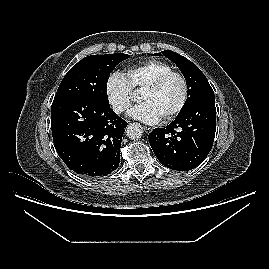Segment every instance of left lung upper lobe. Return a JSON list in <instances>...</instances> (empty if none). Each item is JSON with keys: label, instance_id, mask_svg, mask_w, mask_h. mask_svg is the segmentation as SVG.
<instances>
[{"label": "left lung upper lobe", "instance_id": "1", "mask_svg": "<svg viewBox=\"0 0 269 269\" xmlns=\"http://www.w3.org/2000/svg\"><path fill=\"white\" fill-rule=\"evenodd\" d=\"M162 54L172 60L185 77L188 89V98L179 114L187 110L192 104L203 97L214 95L205 75L191 61L173 51H162ZM154 55H160L156 53Z\"/></svg>", "mask_w": 269, "mask_h": 269}]
</instances>
